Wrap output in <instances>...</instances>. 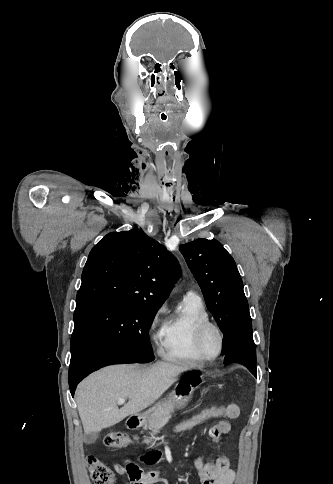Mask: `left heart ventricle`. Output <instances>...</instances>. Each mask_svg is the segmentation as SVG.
Segmentation results:
<instances>
[{
    "label": "left heart ventricle",
    "mask_w": 333,
    "mask_h": 484,
    "mask_svg": "<svg viewBox=\"0 0 333 484\" xmlns=\"http://www.w3.org/2000/svg\"><path fill=\"white\" fill-rule=\"evenodd\" d=\"M204 349L206 353L213 356L218 350V338L215 332L209 331L204 340Z\"/></svg>",
    "instance_id": "1"
}]
</instances>
